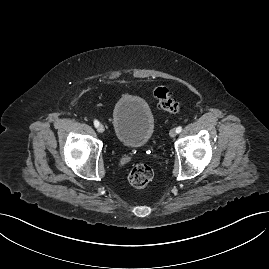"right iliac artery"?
Listing matches in <instances>:
<instances>
[{"mask_svg":"<svg viewBox=\"0 0 269 269\" xmlns=\"http://www.w3.org/2000/svg\"><path fill=\"white\" fill-rule=\"evenodd\" d=\"M94 126L98 127L99 126V122L97 120H94Z\"/></svg>","mask_w":269,"mask_h":269,"instance_id":"right-iliac-artery-1","label":"right iliac artery"}]
</instances>
